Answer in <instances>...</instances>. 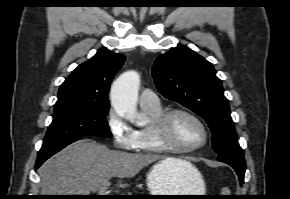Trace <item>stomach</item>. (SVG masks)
Returning a JSON list of instances; mask_svg holds the SVG:
<instances>
[{
	"label": "stomach",
	"mask_w": 290,
	"mask_h": 199,
	"mask_svg": "<svg viewBox=\"0 0 290 199\" xmlns=\"http://www.w3.org/2000/svg\"><path fill=\"white\" fill-rule=\"evenodd\" d=\"M150 195H205V183L200 172L191 168L173 169L159 161L146 175ZM195 199L196 196L158 197Z\"/></svg>",
	"instance_id": "0dacf381"
}]
</instances>
